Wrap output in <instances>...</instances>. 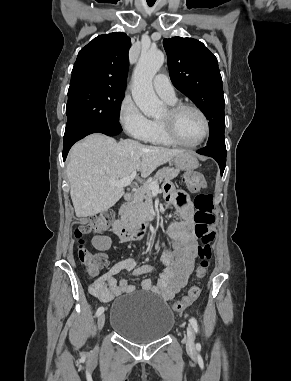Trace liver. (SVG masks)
<instances>
[{
  "mask_svg": "<svg viewBox=\"0 0 291 381\" xmlns=\"http://www.w3.org/2000/svg\"><path fill=\"white\" fill-rule=\"evenodd\" d=\"M183 152L143 145L132 139L117 142L100 133L87 136L71 148L66 169L76 216H94L116 204L124 190L112 186L110 180L128 177L133 171L148 177L157 167Z\"/></svg>",
  "mask_w": 291,
  "mask_h": 381,
  "instance_id": "obj_1",
  "label": "liver"
}]
</instances>
